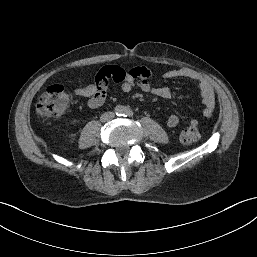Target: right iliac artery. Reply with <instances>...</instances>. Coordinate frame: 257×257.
Here are the masks:
<instances>
[{"instance_id": "82829eb1", "label": "right iliac artery", "mask_w": 257, "mask_h": 257, "mask_svg": "<svg viewBox=\"0 0 257 257\" xmlns=\"http://www.w3.org/2000/svg\"><path fill=\"white\" fill-rule=\"evenodd\" d=\"M117 113L116 114H119V115H122L123 114V109L122 108H119L116 110Z\"/></svg>"}]
</instances>
